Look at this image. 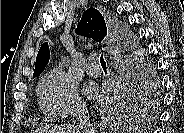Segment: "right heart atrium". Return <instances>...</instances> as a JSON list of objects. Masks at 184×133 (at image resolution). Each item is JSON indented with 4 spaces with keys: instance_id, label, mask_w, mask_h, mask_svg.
<instances>
[{
    "instance_id": "obj_1",
    "label": "right heart atrium",
    "mask_w": 184,
    "mask_h": 133,
    "mask_svg": "<svg viewBox=\"0 0 184 133\" xmlns=\"http://www.w3.org/2000/svg\"><path fill=\"white\" fill-rule=\"evenodd\" d=\"M38 95L43 111L53 118L64 119L85 110L76 84L60 68H55L42 77Z\"/></svg>"
}]
</instances>
